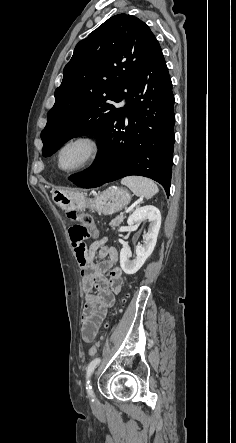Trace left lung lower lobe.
<instances>
[{"instance_id": "left-lung-lower-lobe-1", "label": "left lung lower lobe", "mask_w": 236, "mask_h": 443, "mask_svg": "<svg viewBox=\"0 0 236 443\" xmlns=\"http://www.w3.org/2000/svg\"><path fill=\"white\" fill-rule=\"evenodd\" d=\"M98 136L94 164L70 180L94 188L129 175L159 182L169 196L174 148V96L159 43ZM125 116L128 123L125 124Z\"/></svg>"}]
</instances>
